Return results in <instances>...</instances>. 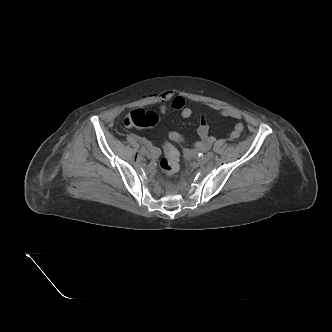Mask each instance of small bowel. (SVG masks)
<instances>
[{
  "label": "small bowel",
  "mask_w": 332,
  "mask_h": 332,
  "mask_svg": "<svg viewBox=\"0 0 332 332\" xmlns=\"http://www.w3.org/2000/svg\"><path fill=\"white\" fill-rule=\"evenodd\" d=\"M162 101L163 102H168L169 107L173 110L179 111L180 115L184 119H188L192 116V109L187 106L186 100L183 96L181 95H175L172 92H166L162 95ZM206 106L210 108L213 111H216L220 116L225 117V118H232V119H241L242 114L240 111L226 107V106H221L218 104L214 103H206ZM167 110L166 105L161 106V111L165 112ZM209 124L207 119L202 116L199 121V126H198V135L200 137V141L196 142L194 144V148L197 150H205L214 141V137L210 135L209 133ZM244 129V126L242 123H237L235 124L233 130L230 133V138L236 139L238 138L242 131ZM169 139L179 145H184L185 144V138L183 137L182 134H180L177 131H172L169 133ZM149 149H150V155L152 158H156L159 155V151L156 147L152 146L150 143H148ZM188 150V149H187Z\"/></svg>",
  "instance_id": "obj_1"
}]
</instances>
